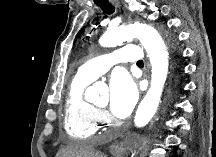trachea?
I'll list each match as a JSON object with an SVG mask.
<instances>
[{"mask_svg":"<svg viewBox=\"0 0 216 157\" xmlns=\"http://www.w3.org/2000/svg\"><path fill=\"white\" fill-rule=\"evenodd\" d=\"M96 5L99 6L106 14H112L115 11L114 6L108 0L97 2ZM137 64L142 65L143 61L140 60Z\"/></svg>","mask_w":216,"mask_h":157,"instance_id":"1","label":"trachea"}]
</instances>
